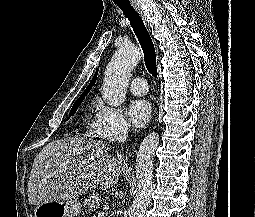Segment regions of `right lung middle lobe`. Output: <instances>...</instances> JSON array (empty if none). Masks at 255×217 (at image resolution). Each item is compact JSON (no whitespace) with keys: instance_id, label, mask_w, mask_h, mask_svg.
<instances>
[{"instance_id":"dd1d6c3e","label":"right lung middle lobe","mask_w":255,"mask_h":217,"mask_svg":"<svg viewBox=\"0 0 255 217\" xmlns=\"http://www.w3.org/2000/svg\"><path fill=\"white\" fill-rule=\"evenodd\" d=\"M87 94H84V95H82L81 97H79L78 99H77V101L74 103V105L72 106V109L70 110V116H72V115H74L75 113H76V111H77V109H78V107L80 106V104L82 103V101L84 100V98H85V96H86Z\"/></svg>"}]
</instances>
